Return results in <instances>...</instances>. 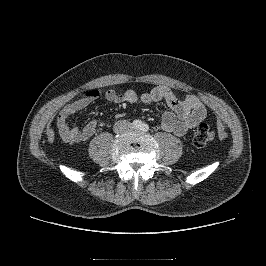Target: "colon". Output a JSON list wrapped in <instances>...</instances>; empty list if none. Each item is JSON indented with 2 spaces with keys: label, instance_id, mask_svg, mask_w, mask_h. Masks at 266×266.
Masks as SVG:
<instances>
[{
  "label": "colon",
  "instance_id": "obj_1",
  "mask_svg": "<svg viewBox=\"0 0 266 266\" xmlns=\"http://www.w3.org/2000/svg\"><path fill=\"white\" fill-rule=\"evenodd\" d=\"M214 131L207 123H201L195 130L193 143L196 147H204L214 139Z\"/></svg>",
  "mask_w": 266,
  "mask_h": 266
}]
</instances>
